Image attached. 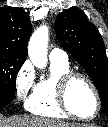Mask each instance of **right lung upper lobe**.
I'll use <instances>...</instances> for the list:
<instances>
[{
    "mask_svg": "<svg viewBox=\"0 0 108 127\" xmlns=\"http://www.w3.org/2000/svg\"><path fill=\"white\" fill-rule=\"evenodd\" d=\"M32 26L28 14L18 7L0 8V54L26 60Z\"/></svg>",
    "mask_w": 108,
    "mask_h": 127,
    "instance_id": "cb5924a9",
    "label": "right lung upper lobe"
}]
</instances>
